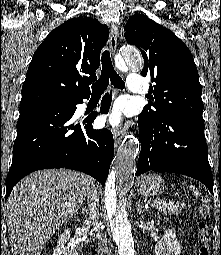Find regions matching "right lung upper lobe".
Here are the masks:
<instances>
[{
    "mask_svg": "<svg viewBox=\"0 0 221 255\" xmlns=\"http://www.w3.org/2000/svg\"><path fill=\"white\" fill-rule=\"evenodd\" d=\"M109 29L97 19L77 17L51 31L35 51L22 86L20 108L90 95Z\"/></svg>",
    "mask_w": 221,
    "mask_h": 255,
    "instance_id": "obj_1",
    "label": "right lung upper lobe"
}]
</instances>
